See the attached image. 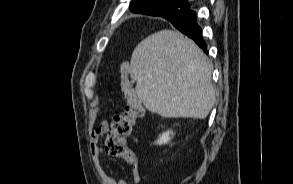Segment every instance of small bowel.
<instances>
[{
    "instance_id": "c3829d8e",
    "label": "small bowel",
    "mask_w": 293,
    "mask_h": 184,
    "mask_svg": "<svg viewBox=\"0 0 293 184\" xmlns=\"http://www.w3.org/2000/svg\"><path fill=\"white\" fill-rule=\"evenodd\" d=\"M109 123L107 120H102L99 125L91 132L90 143H91V152L93 155L94 164L98 170V173L102 179V184H129L126 179H115L112 176L108 175L103 168V161L101 158V149L98 146L101 138L108 132ZM131 164V174L135 183L140 181V173L138 169L137 161L130 163Z\"/></svg>"
}]
</instances>
